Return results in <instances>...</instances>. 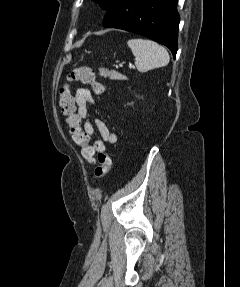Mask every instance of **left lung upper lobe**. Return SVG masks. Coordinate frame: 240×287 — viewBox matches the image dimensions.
<instances>
[{
  "mask_svg": "<svg viewBox=\"0 0 240 287\" xmlns=\"http://www.w3.org/2000/svg\"><path fill=\"white\" fill-rule=\"evenodd\" d=\"M97 2L102 8L106 9L111 0H93Z\"/></svg>",
  "mask_w": 240,
  "mask_h": 287,
  "instance_id": "left-lung-upper-lobe-1",
  "label": "left lung upper lobe"
}]
</instances>
